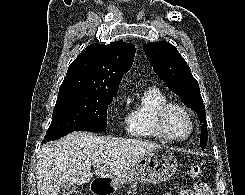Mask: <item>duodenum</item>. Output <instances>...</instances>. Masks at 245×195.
Returning <instances> with one entry per match:
<instances>
[{
	"instance_id": "1",
	"label": "duodenum",
	"mask_w": 245,
	"mask_h": 195,
	"mask_svg": "<svg viewBox=\"0 0 245 195\" xmlns=\"http://www.w3.org/2000/svg\"><path fill=\"white\" fill-rule=\"evenodd\" d=\"M91 191L94 195H111L113 188L109 181L95 180L91 183Z\"/></svg>"
}]
</instances>
